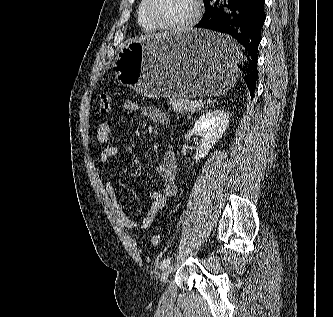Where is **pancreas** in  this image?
I'll return each instance as SVG.
<instances>
[{
  "mask_svg": "<svg viewBox=\"0 0 333 317\" xmlns=\"http://www.w3.org/2000/svg\"><path fill=\"white\" fill-rule=\"evenodd\" d=\"M169 104L180 114L193 113L201 109V105L192 104L190 100L186 99L171 98Z\"/></svg>",
  "mask_w": 333,
  "mask_h": 317,
  "instance_id": "1",
  "label": "pancreas"
}]
</instances>
